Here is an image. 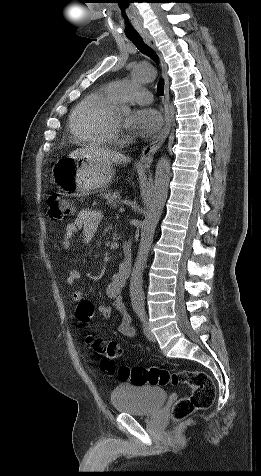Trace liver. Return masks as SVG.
<instances>
[{
    "label": "liver",
    "mask_w": 261,
    "mask_h": 476,
    "mask_svg": "<svg viewBox=\"0 0 261 476\" xmlns=\"http://www.w3.org/2000/svg\"><path fill=\"white\" fill-rule=\"evenodd\" d=\"M71 158L86 157L99 162L111 164H124L130 162V158L125 155L112 151L106 148L90 145L84 148L77 149L69 154Z\"/></svg>",
    "instance_id": "liver-1"
}]
</instances>
